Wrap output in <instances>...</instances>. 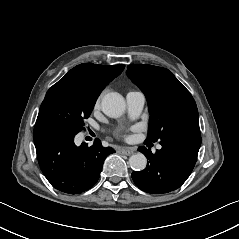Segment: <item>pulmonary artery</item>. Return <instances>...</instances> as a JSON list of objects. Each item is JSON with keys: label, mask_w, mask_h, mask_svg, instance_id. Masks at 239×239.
Instances as JSON below:
<instances>
[{"label": "pulmonary artery", "mask_w": 239, "mask_h": 239, "mask_svg": "<svg viewBox=\"0 0 239 239\" xmlns=\"http://www.w3.org/2000/svg\"><path fill=\"white\" fill-rule=\"evenodd\" d=\"M126 102L128 111L132 116L140 115L144 104H145V95L139 90H130L126 94ZM158 149H161V145H157Z\"/></svg>", "instance_id": "pulmonary-artery-1"}]
</instances>
